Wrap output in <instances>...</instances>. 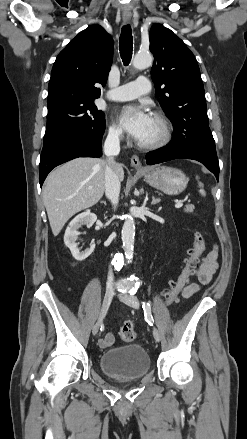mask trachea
I'll return each instance as SVG.
<instances>
[{
  "label": "trachea",
  "mask_w": 247,
  "mask_h": 439,
  "mask_svg": "<svg viewBox=\"0 0 247 439\" xmlns=\"http://www.w3.org/2000/svg\"><path fill=\"white\" fill-rule=\"evenodd\" d=\"M119 50L124 65H128L131 61L133 50V37L130 25H126L122 28V32L119 38Z\"/></svg>",
  "instance_id": "1"
}]
</instances>
